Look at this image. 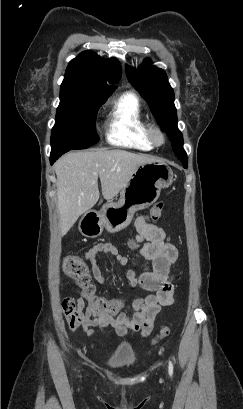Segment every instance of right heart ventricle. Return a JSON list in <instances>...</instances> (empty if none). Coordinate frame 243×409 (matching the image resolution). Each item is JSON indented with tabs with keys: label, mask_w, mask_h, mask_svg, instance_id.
<instances>
[{
	"label": "right heart ventricle",
	"mask_w": 243,
	"mask_h": 409,
	"mask_svg": "<svg viewBox=\"0 0 243 409\" xmlns=\"http://www.w3.org/2000/svg\"><path fill=\"white\" fill-rule=\"evenodd\" d=\"M108 121L107 140L110 144L144 152L154 149L148 136L149 125L135 94L128 92L115 100Z\"/></svg>",
	"instance_id": "1"
}]
</instances>
